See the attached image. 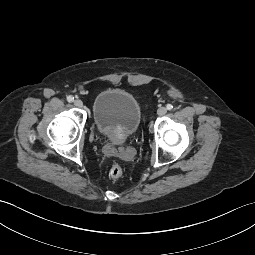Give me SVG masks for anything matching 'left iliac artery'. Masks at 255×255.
I'll list each match as a JSON object with an SVG mask.
<instances>
[{"instance_id": "44dca946", "label": "left iliac artery", "mask_w": 255, "mask_h": 255, "mask_svg": "<svg viewBox=\"0 0 255 255\" xmlns=\"http://www.w3.org/2000/svg\"><path fill=\"white\" fill-rule=\"evenodd\" d=\"M166 108H167L168 110H172V109H173V105L167 104Z\"/></svg>"}]
</instances>
